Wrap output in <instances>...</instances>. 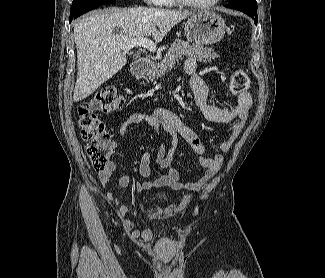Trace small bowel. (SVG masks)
I'll return each instance as SVG.
<instances>
[{"label":"small bowel","instance_id":"small-bowel-1","mask_svg":"<svg viewBox=\"0 0 325 278\" xmlns=\"http://www.w3.org/2000/svg\"><path fill=\"white\" fill-rule=\"evenodd\" d=\"M185 71L190 76V86L194 94L195 104L206 120L213 123H228L234 119L238 120L227 139L220 144V150L228 152L244 128L248 111L252 105L250 92L245 89L237 94L236 102L230 107L212 105L208 103L207 86L198 72V64L195 58L186 59ZM142 122L149 124L158 133L169 137L172 145L166 149V146L161 143L153 160L149 152L142 155L139 162V173L145 180L137 181L135 183L136 189L144 191L157 186H168L175 189L184 188L198 191L206 187L220 169L223 163V155L205 156V146L197 133L185 125L175 112L165 108H155L149 112L129 115L120 121L118 125L119 135L123 138L131 126ZM180 141L185 142L199 156L198 162L203 168V175L197 181L183 183L179 173L172 167L174 153ZM151 164L155 166L158 174L152 173ZM116 169V164L109 160L106 169L98 174L102 185L110 183ZM117 179L121 187H128L131 184V177L127 173L119 174ZM107 196L113 200L112 193H108ZM121 210L124 211V207H121Z\"/></svg>","mask_w":325,"mask_h":278}]
</instances>
